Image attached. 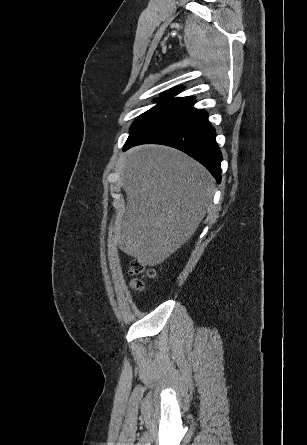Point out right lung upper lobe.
I'll return each instance as SVG.
<instances>
[{
  "label": "right lung upper lobe",
  "instance_id": "obj_1",
  "mask_svg": "<svg viewBox=\"0 0 307 445\" xmlns=\"http://www.w3.org/2000/svg\"><path fill=\"white\" fill-rule=\"evenodd\" d=\"M182 90H183L182 87H175V88L165 92L164 94H162V97L163 98H171V97L177 95ZM175 99H179V100H182V101H185V102H189V101L193 100L194 98L191 97V96H188V97L175 98Z\"/></svg>",
  "mask_w": 307,
  "mask_h": 445
}]
</instances>
